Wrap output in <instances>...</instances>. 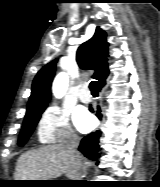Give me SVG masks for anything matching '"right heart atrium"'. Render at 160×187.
<instances>
[{"instance_id": "d8ad5b80", "label": "right heart atrium", "mask_w": 160, "mask_h": 187, "mask_svg": "<svg viewBox=\"0 0 160 187\" xmlns=\"http://www.w3.org/2000/svg\"><path fill=\"white\" fill-rule=\"evenodd\" d=\"M37 134L39 141L43 144H76L78 142L69 114L56 105L47 107L40 115Z\"/></svg>"}]
</instances>
